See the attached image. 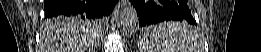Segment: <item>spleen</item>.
I'll list each match as a JSON object with an SVG mask.
<instances>
[{"label":"spleen","mask_w":261,"mask_h":52,"mask_svg":"<svg viewBox=\"0 0 261 52\" xmlns=\"http://www.w3.org/2000/svg\"><path fill=\"white\" fill-rule=\"evenodd\" d=\"M177 34L185 36L178 38ZM139 45L141 52H197L200 46L191 27L180 22H164L151 27L139 36Z\"/></svg>","instance_id":"spleen-1"}]
</instances>
